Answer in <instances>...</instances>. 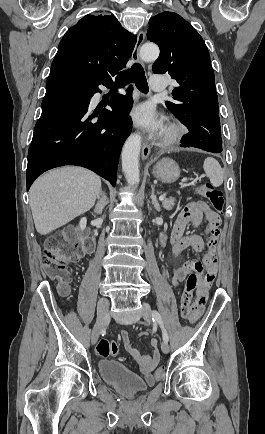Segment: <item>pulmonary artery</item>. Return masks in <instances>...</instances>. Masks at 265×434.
<instances>
[{"instance_id": "1", "label": "pulmonary artery", "mask_w": 265, "mask_h": 434, "mask_svg": "<svg viewBox=\"0 0 265 434\" xmlns=\"http://www.w3.org/2000/svg\"><path fill=\"white\" fill-rule=\"evenodd\" d=\"M165 77L164 75H150L149 83L150 84H164Z\"/></svg>"}]
</instances>
